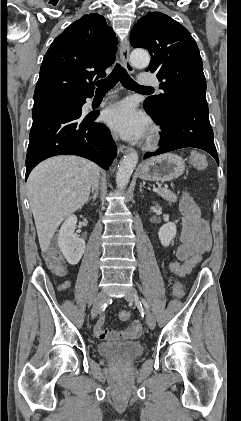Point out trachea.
Masks as SVG:
<instances>
[{"label":"trachea","instance_id":"trachea-1","mask_svg":"<svg viewBox=\"0 0 241 421\" xmlns=\"http://www.w3.org/2000/svg\"><path fill=\"white\" fill-rule=\"evenodd\" d=\"M121 82L122 85L130 90L135 91H145L151 89L150 87H145L138 85L127 73V71L120 65L116 64L112 73L105 79H102L96 83L97 92H108L112 89L117 82Z\"/></svg>","mask_w":241,"mask_h":421}]
</instances>
